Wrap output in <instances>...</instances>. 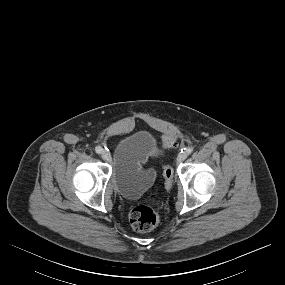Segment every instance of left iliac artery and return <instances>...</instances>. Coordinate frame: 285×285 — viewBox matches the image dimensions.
Segmentation results:
<instances>
[{
  "label": "left iliac artery",
  "instance_id": "1",
  "mask_svg": "<svg viewBox=\"0 0 285 285\" xmlns=\"http://www.w3.org/2000/svg\"><path fill=\"white\" fill-rule=\"evenodd\" d=\"M181 152H183V151H181ZM185 152L187 154H191L193 152V148L192 147L185 148Z\"/></svg>",
  "mask_w": 285,
  "mask_h": 285
}]
</instances>
